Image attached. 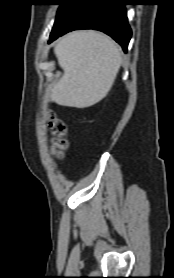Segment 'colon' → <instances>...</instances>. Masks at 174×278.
Instances as JSON below:
<instances>
[{
  "label": "colon",
  "mask_w": 174,
  "mask_h": 278,
  "mask_svg": "<svg viewBox=\"0 0 174 278\" xmlns=\"http://www.w3.org/2000/svg\"><path fill=\"white\" fill-rule=\"evenodd\" d=\"M47 118L48 128L53 136L52 146L54 153L57 158H62L68 146V142L65 139L66 125L61 119L57 118L53 112H49Z\"/></svg>",
  "instance_id": "5ec220e1"
}]
</instances>
